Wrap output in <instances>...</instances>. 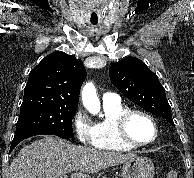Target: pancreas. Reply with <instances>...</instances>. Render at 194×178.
Masks as SVG:
<instances>
[{
    "label": "pancreas",
    "mask_w": 194,
    "mask_h": 178,
    "mask_svg": "<svg viewBox=\"0 0 194 178\" xmlns=\"http://www.w3.org/2000/svg\"><path fill=\"white\" fill-rule=\"evenodd\" d=\"M103 178H109V177H107V176H103Z\"/></svg>",
    "instance_id": "obj_1"
}]
</instances>
